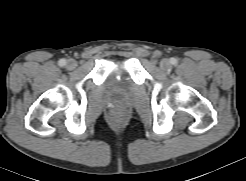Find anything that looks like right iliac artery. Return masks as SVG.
I'll return each instance as SVG.
<instances>
[{
	"label": "right iliac artery",
	"mask_w": 246,
	"mask_h": 181,
	"mask_svg": "<svg viewBox=\"0 0 246 181\" xmlns=\"http://www.w3.org/2000/svg\"><path fill=\"white\" fill-rule=\"evenodd\" d=\"M66 60L65 59H61V60H59V65L60 66H65L66 65Z\"/></svg>",
	"instance_id": "82829eb1"
}]
</instances>
